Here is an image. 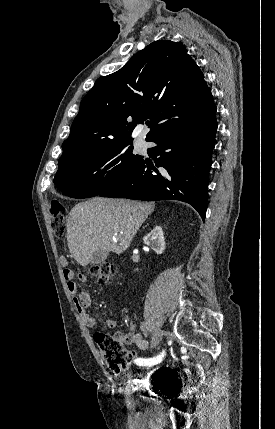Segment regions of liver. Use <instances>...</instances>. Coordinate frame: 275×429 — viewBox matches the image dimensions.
Here are the masks:
<instances>
[{"mask_svg":"<svg viewBox=\"0 0 275 429\" xmlns=\"http://www.w3.org/2000/svg\"><path fill=\"white\" fill-rule=\"evenodd\" d=\"M154 207L153 202L100 197L75 205L67 222L70 253L82 266L99 250L122 254Z\"/></svg>","mask_w":275,"mask_h":429,"instance_id":"obj_1","label":"liver"}]
</instances>
